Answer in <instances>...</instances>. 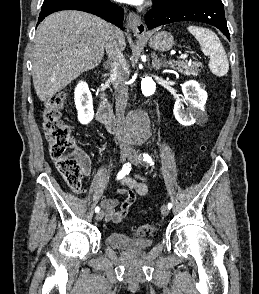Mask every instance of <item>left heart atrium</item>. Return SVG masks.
Returning <instances> with one entry per match:
<instances>
[{
  "mask_svg": "<svg viewBox=\"0 0 259 294\" xmlns=\"http://www.w3.org/2000/svg\"><path fill=\"white\" fill-rule=\"evenodd\" d=\"M116 1L123 2V3H128V4H133V5H139L144 0H116Z\"/></svg>",
  "mask_w": 259,
  "mask_h": 294,
  "instance_id": "left-heart-atrium-1",
  "label": "left heart atrium"
}]
</instances>
